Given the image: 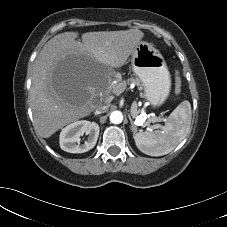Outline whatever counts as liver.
Here are the masks:
<instances>
[{
    "instance_id": "obj_1",
    "label": "liver",
    "mask_w": 227,
    "mask_h": 227,
    "mask_svg": "<svg viewBox=\"0 0 227 227\" xmlns=\"http://www.w3.org/2000/svg\"><path fill=\"white\" fill-rule=\"evenodd\" d=\"M64 32L51 38L35 59L30 90L31 109L35 131L49 138L65 125L89 115L95 95L107 96L109 89L95 77L96 64L122 67L132 54L144 33L138 29L125 31H98L82 34ZM68 54L82 57L89 68L86 91L75 98L61 95L53 85V72L57 61Z\"/></svg>"
}]
</instances>
